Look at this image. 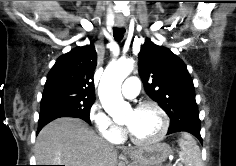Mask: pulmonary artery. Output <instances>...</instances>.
I'll return each mask as SVG.
<instances>
[{"instance_id": "1", "label": "pulmonary artery", "mask_w": 236, "mask_h": 166, "mask_svg": "<svg viewBox=\"0 0 236 166\" xmlns=\"http://www.w3.org/2000/svg\"><path fill=\"white\" fill-rule=\"evenodd\" d=\"M140 89V80L136 76L129 77L122 86V94L124 97L135 98Z\"/></svg>"}]
</instances>
